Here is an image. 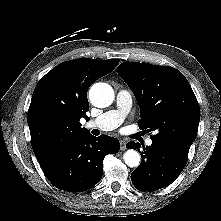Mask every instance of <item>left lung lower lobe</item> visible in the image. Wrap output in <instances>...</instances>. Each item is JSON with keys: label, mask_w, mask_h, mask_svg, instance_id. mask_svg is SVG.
<instances>
[{"label": "left lung lower lobe", "mask_w": 221, "mask_h": 221, "mask_svg": "<svg viewBox=\"0 0 221 221\" xmlns=\"http://www.w3.org/2000/svg\"><path fill=\"white\" fill-rule=\"evenodd\" d=\"M139 143L130 142L127 148L137 149ZM142 162L131 174L134 186L140 191H156L171 184L185 167L187 157L165 144L153 142L144 146Z\"/></svg>", "instance_id": "obj_1"}]
</instances>
